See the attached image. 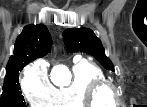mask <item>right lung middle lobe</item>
I'll list each match as a JSON object with an SVG mask.
<instances>
[{"instance_id":"right-lung-middle-lobe-1","label":"right lung middle lobe","mask_w":147,"mask_h":107,"mask_svg":"<svg viewBox=\"0 0 147 107\" xmlns=\"http://www.w3.org/2000/svg\"><path fill=\"white\" fill-rule=\"evenodd\" d=\"M30 62L32 61L22 64L19 67V71ZM20 90L19 72L6 76L3 84L0 107H27Z\"/></svg>"}]
</instances>
